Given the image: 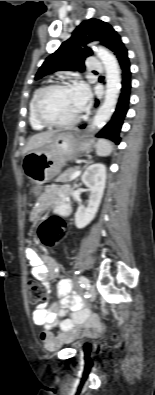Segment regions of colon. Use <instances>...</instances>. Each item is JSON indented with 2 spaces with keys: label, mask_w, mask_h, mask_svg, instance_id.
<instances>
[{
  "label": "colon",
  "mask_w": 155,
  "mask_h": 395,
  "mask_svg": "<svg viewBox=\"0 0 155 395\" xmlns=\"http://www.w3.org/2000/svg\"><path fill=\"white\" fill-rule=\"evenodd\" d=\"M62 221V215H47L46 220L36 229V234L39 235L42 244L47 247L49 251H56L58 241L62 240V235H64L66 228L65 223H61ZM28 288V299L30 304L36 305L46 301V289L36 280H29Z\"/></svg>",
  "instance_id": "5ec220e1"
}]
</instances>
